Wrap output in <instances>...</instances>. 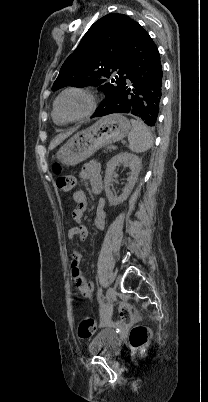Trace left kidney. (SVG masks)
Here are the masks:
<instances>
[{"instance_id": "1", "label": "left kidney", "mask_w": 208, "mask_h": 402, "mask_svg": "<svg viewBox=\"0 0 208 402\" xmlns=\"http://www.w3.org/2000/svg\"><path fill=\"white\" fill-rule=\"evenodd\" d=\"M119 164L129 166L131 172L127 180L128 184H126L123 190V194H121L119 198H116V196H113L110 190V186L111 182H113V178H115V176H113L114 170H116V166H119ZM141 164L142 162L140 158H138V156H135V154H129V152H120V154H116L114 158H111V160H109L105 172L104 188L110 206H117V204H122V202H124V200H127L128 196H130L138 180V176L141 170Z\"/></svg>"}]
</instances>
